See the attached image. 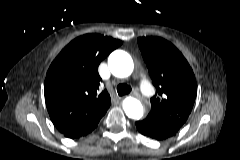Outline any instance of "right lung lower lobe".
<instances>
[{"label": "right lung lower lobe", "mask_w": 240, "mask_h": 160, "mask_svg": "<svg viewBox=\"0 0 240 160\" xmlns=\"http://www.w3.org/2000/svg\"><path fill=\"white\" fill-rule=\"evenodd\" d=\"M105 113H103L102 115H100V116H98V117H96L93 120H90L88 122L77 124V125L71 127L70 129H68L67 131L63 132L62 134L65 137H68V138H71V139H77V138H80L82 136H85L88 133L92 132L97 127L101 117Z\"/></svg>", "instance_id": "obj_1"}]
</instances>
